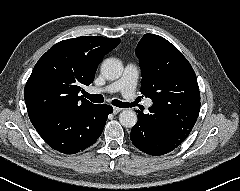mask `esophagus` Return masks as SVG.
I'll return each mask as SVG.
<instances>
[{"instance_id": "esophagus-1", "label": "esophagus", "mask_w": 240, "mask_h": 191, "mask_svg": "<svg viewBox=\"0 0 240 191\" xmlns=\"http://www.w3.org/2000/svg\"><path fill=\"white\" fill-rule=\"evenodd\" d=\"M120 111H122L121 108L113 107V113H114V114H117V113H119Z\"/></svg>"}]
</instances>
